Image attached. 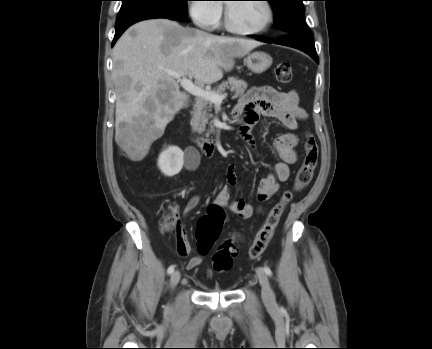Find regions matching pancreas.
Wrapping results in <instances>:
<instances>
[{
    "mask_svg": "<svg viewBox=\"0 0 432 349\" xmlns=\"http://www.w3.org/2000/svg\"><path fill=\"white\" fill-rule=\"evenodd\" d=\"M226 89H230V91L234 93L233 98H238L244 94L245 90L247 89V83L236 77H229L227 81H223L217 87V89L212 91L217 94H222ZM212 105L213 102L210 100H207L203 97H197L193 107L192 126L200 133L206 131L207 136L215 132L212 121L209 122V120L213 117V114L211 113ZM206 125H209L207 130Z\"/></svg>",
    "mask_w": 432,
    "mask_h": 349,
    "instance_id": "cf45deb5",
    "label": "pancreas"
}]
</instances>
